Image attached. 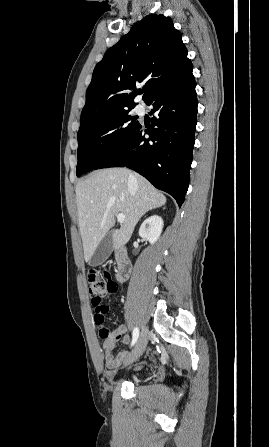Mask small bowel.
<instances>
[{
	"mask_svg": "<svg viewBox=\"0 0 269 447\" xmlns=\"http://www.w3.org/2000/svg\"><path fill=\"white\" fill-rule=\"evenodd\" d=\"M126 332L127 326L124 323H118L111 332L110 340L103 344L104 363L108 369L117 368L120 362L127 357V353L125 352L119 353L116 356L113 355L114 342L122 341L124 344L131 342V337Z\"/></svg>",
	"mask_w": 269,
	"mask_h": 447,
	"instance_id": "c3829d8e",
	"label": "small bowel"
}]
</instances>
